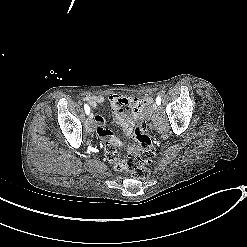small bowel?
Here are the masks:
<instances>
[{"mask_svg": "<svg viewBox=\"0 0 247 247\" xmlns=\"http://www.w3.org/2000/svg\"><path fill=\"white\" fill-rule=\"evenodd\" d=\"M106 101H108L109 105L112 108L114 121L121 126L126 136H130L134 129V123L123 111V106L125 105V111H131L132 115L137 116L141 112L142 108L149 106L153 100L150 97H146L143 99H127L119 95H111L108 98L102 95L84 97V102L91 107L103 104ZM93 122L99 128L95 132L96 137L99 139H103L109 143V145L106 146L105 151L112 170L115 172L120 171L122 168V163L118 158L115 148L120 145V138L113 132L106 129L108 123L102 115H95L93 118Z\"/></svg>", "mask_w": 247, "mask_h": 247, "instance_id": "1", "label": "small bowel"}]
</instances>
